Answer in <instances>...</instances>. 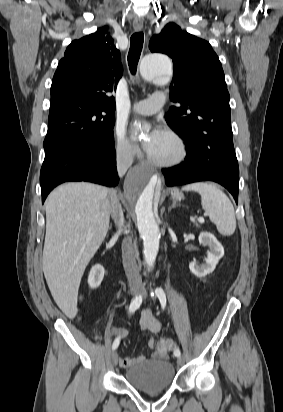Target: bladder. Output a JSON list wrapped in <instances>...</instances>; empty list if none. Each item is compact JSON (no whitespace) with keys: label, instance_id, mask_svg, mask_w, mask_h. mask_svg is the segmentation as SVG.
<instances>
[{"label":"bladder","instance_id":"bladder-1","mask_svg":"<svg viewBox=\"0 0 283 412\" xmlns=\"http://www.w3.org/2000/svg\"><path fill=\"white\" fill-rule=\"evenodd\" d=\"M175 368L168 360L145 361L125 371L126 382L142 392H161L175 381Z\"/></svg>","mask_w":283,"mask_h":412}]
</instances>
